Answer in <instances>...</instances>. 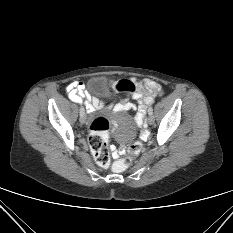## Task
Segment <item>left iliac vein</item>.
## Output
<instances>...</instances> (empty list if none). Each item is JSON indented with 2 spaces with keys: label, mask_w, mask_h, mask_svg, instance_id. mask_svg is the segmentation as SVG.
Returning <instances> with one entry per match:
<instances>
[{
  "label": "left iliac vein",
  "mask_w": 233,
  "mask_h": 233,
  "mask_svg": "<svg viewBox=\"0 0 233 233\" xmlns=\"http://www.w3.org/2000/svg\"><path fill=\"white\" fill-rule=\"evenodd\" d=\"M147 123L149 125H152L154 123V117L152 115L149 114V116L147 117Z\"/></svg>",
  "instance_id": "obj_1"
}]
</instances>
